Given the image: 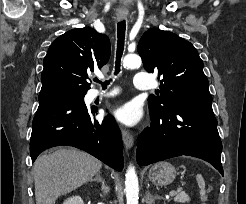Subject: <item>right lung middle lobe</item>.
Wrapping results in <instances>:
<instances>
[{"label":"right lung middle lobe","instance_id":"right-lung-middle-lobe-1","mask_svg":"<svg viewBox=\"0 0 246 204\" xmlns=\"http://www.w3.org/2000/svg\"><path fill=\"white\" fill-rule=\"evenodd\" d=\"M80 95H85V93H79Z\"/></svg>","mask_w":246,"mask_h":204}]
</instances>
